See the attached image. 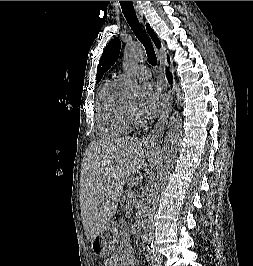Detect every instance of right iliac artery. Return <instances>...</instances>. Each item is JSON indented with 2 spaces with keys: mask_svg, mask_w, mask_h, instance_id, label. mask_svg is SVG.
Listing matches in <instances>:
<instances>
[{
  "mask_svg": "<svg viewBox=\"0 0 253 266\" xmlns=\"http://www.w3.org/2000/svg\"><path fill=\"white\" fill-rule=\"evenodd\" d=\"M148 251H149L151 266H159L157 257L155 255L154 248L153 247H150V248H148Z\"/></svg>",
  "mask_w": 253,
  "mask_h": 266,
  "instance_id": "1",
  "label": "right iliac artery"
}]
</instances>
